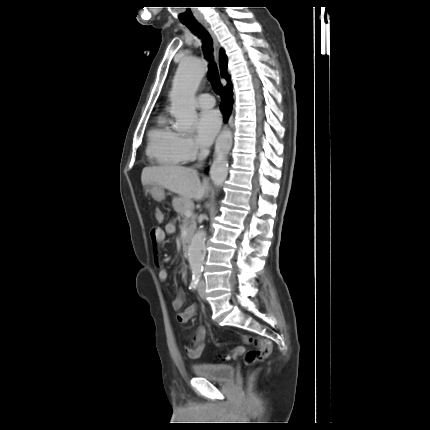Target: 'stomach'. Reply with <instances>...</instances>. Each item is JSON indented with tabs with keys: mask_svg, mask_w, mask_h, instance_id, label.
<instances>
[{
	"mask_svg": "<svg viewBox=\"0 0 430 430\" xmlns=\"http://www.w3.org/2000/svg\"><path fill=\"white\" fill-rule=\"evenodd\" d=\"M147 191L157 200L162 201L165 198L164 187L156 183H147Z\"/></svg>",
	"mask_w": 430,
	"mask_h": 430,
	"instance_id": "stomach-1",
	"label": "stomach"
}]
</instances>
